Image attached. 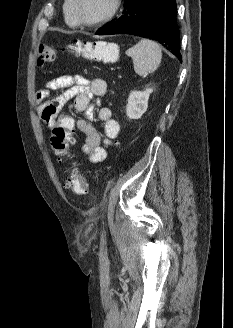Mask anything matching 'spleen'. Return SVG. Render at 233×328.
I'll list each match as a JSON object with an SVG mask.
<instances>
[{
    "label": "spleen",
    "mask_w": 233,
    "mask_h": 328,
    "mask_svg": "<svg viewBox=\"0 0 233 328\" xmlns=\"http://www.w3.org/2000/svg\"><path fill=\"white\" fill-rule=\"evenodd\" d=\"M114 48H116L115 44L107 45V49ZM126 55L132 58L134 71L140 76L154 72L162 60L159 44L150 39H141L136 45L126 50Z\"/></svg>",
    "instance_id": "3e777b00"
}]
</instances>
